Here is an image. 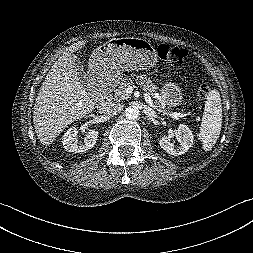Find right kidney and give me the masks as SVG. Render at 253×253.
I'll list each match as a JSON object with an SVG mask.
<instances>
[{"label": "right kidney", "mask_w": 253, "mask_h": 253, "mask_svg": "<svg viewBox=\"0 0 253 253\" xmlns=\"http://www.w3.org/2000/svg\"><path fill=\"white\" fill-rule=\"evenodd\" d=\"M78 131L75 127H71L68 131L64 134L62 143L64 148L69 152H85L91 149L97 141L98 132L90 129L87 133V136L84 140V143L78 142L77 140Z\"/></svg>", "instance_id": "right-kidney-1"}]
</instances>
